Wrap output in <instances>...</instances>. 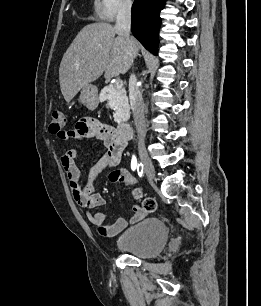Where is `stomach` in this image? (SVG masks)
<instances>
[{"mask_svg":"<svg viewBox=\"0 0 261 306\" xmlns=\"http://www.w3.org/2000/svg\"><path fill=\"white\" fill-rule=\"evenodd\" d=\"M79 101L90 110L96 109L99 104L97 87L92 84H87L82 87Z\"/></svg>","mask_w":261,"mask_h":306,"instance_id":"stomach-1","label":"stomach"}]
</instances>
